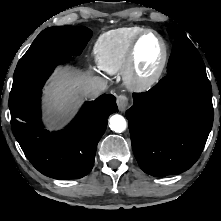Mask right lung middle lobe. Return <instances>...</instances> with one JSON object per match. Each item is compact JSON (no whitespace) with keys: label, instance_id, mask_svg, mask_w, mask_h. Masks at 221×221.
Listing matches in <instances>:
<instances>
[{"label":"right lung middle lobe","instance_id":"right-lung-middle-lobe-1","mask_svg":"<svg viewBox=\"0 0 221 221\" xmlns=\"http://www.w3.org/2000/svg\"><path fill=\"white\" fill-rule=\"evenodd\" d=\"M92 36L86 27L60 26L43 30L19 60L13 76L9 107L18 105L39 92L60 63L79 55Z\"/></svg>","mask_w":221,"mask_h":221}]
</instances>
